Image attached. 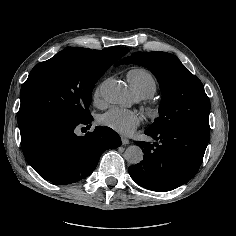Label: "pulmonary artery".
<instances>
[{
    "label": "pulmonary artery",
    "mask_w": 236,
    "mask_h": 236,
    "mask_svg": "<svg viewBox=\"0 0 236 236\" xmlns=\"http://www.w3.org/2000/svg\"><path fill=\"white\" fill-rule=\"evenodd\" d=\"M136 99H137V100H142L143 98L140 97V96H136Z\"/></svg>",
    "instance_id": "obj_1"
}]
</instances>
